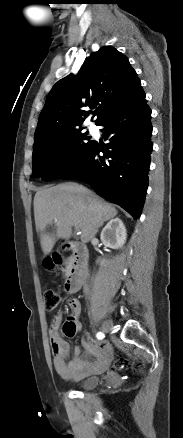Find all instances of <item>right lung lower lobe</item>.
Listing matches in <instances>:
<instances>
[{
    "mask_svg": "<svg viewBox=\"0 0 183 438\" xmlns=\"http://www.w3.org/2000/svg\"><path fill=\"white\" fill-rule=\"evenodd\" d=\"M151 110L145 93L110 113L99 125L105 148L93 142L55 178L77 177L106 200L116 203L134 219L140 217L148 187L152 142ZM103 152V156H99Z\"/></svg>",
    "mask_w": 183,
    "mask_h": 438,
    "instance_id": "98d812e1",
    "label": "right lung lower lobe"
}]
</instances>
